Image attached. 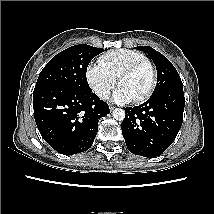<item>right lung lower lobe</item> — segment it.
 I'll use <instances>...</instances> for the list:
<instances>
[{
  "mask_svg": "<svg viewBox=\"0 0 214 214\" xmlns=\"http://www.w3.org/2000/svg\"><path fill=\"white\" fill-rule=\"evenodd\" d=\"M34 118L42 138L57 152L73 155L88 150L98 121L110 113L94 93L48 87L33 93Z\"/></svg>",
  "mask_w": 214,
  "mask_h": 214,
  "instance_id": "right-lung-lower-lobe-1",
  "label": "right lung lower lobe"
}]
</instances>
